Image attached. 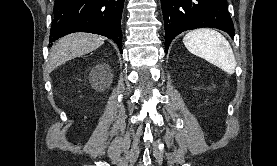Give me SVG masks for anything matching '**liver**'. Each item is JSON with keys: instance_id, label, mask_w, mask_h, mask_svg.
Segmentation results:
<instances>
[{"instance_id": "1", "label": "liver", "mask_w": 277, "mask_h": 166, "mask_svg": "<svg viewBox=\"0 0 277 166\" xmlns=\"http://www.w3.org/2000/svg\"><path fill=\"white\" fill-rule=\"evenodd\" d=\"M104 43V37L91 33H72L52 47L47 65L48 71L76 57L88 54Z\"/></svg>"}]
</instances>
